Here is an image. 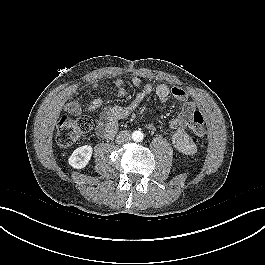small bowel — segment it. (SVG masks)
Masks as SVG:
<instances>
[{"label": "small bowel", "mask_w": 265, "mask_h": 265, "mask_svg": "<svg viewBox=\"0 0 265 265\" xmlns=\"http://www.w3.org/2000/svg\"><path fill=\"white\" fill-rule=\"evenodd\" d=\"M131 82L137 88L136 95L128 104L116 105L102 111L97 123V134L102 138H112L117 132L119 122L135 111L150 94L155 93L161 102H166L170 97H173L181 104L179 113L169 122L170 127L173 129L172 143L179 152L185 155L195 154L197 146L188 134L187 126L193 113L197 110V104L188 100V94L185 89L179 86L170 87L167 84L154 86L149 82H143L141 77L137 75L132 77ZM114 86L120 96L126 94L124 83L120 78L114 80ZM93 87L96 86L94 85ZM74 93L75 90L70 89L66 92V96L71 97ZM102 105L103 100L100 97H94L86 109L87 111H95ZM65 107L73 115H78L82 111L80 103L76 100L68 101ZM148 127L153 128V125L148 124Z\"/></svg>", "instance_id": "1"}]
</instances>
